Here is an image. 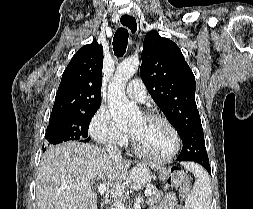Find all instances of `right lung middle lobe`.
<instances>
[{"label": "right lung middle lobe", "mask_w": 253, "mask_h": 209, "mask_svg": "<svg viewBox=\"0 0 253 209\" xmlns=\"http://www.w3.org/2000/svg\"><path fill=\"white\" fill-rule=\"evenodd\" d=\"M98 108L99 106L85 112L50 117L45 135L46 145L69 140L88 142L90 140L88 137L89 123Z\"/></svg>", "instance_id": "right-lung-middle-lobe-1"}]
</instances>
